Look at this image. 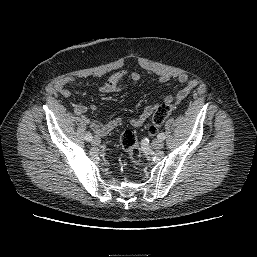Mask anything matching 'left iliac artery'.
Segmentation results:
<instances>
[{"label": "left iliac artery", "instance_id": "obj_1", "mask_svg": "<svg viewBox=\"0 0 257 257\" xmlns=\"http://www.w3.org/2000/svg\"><path fill=\"white\" fill-rule=\"evenodd\" d=\"M165 138H166V136H165L164 133H159V134H158V139L164 140Z\"/></svg>", "mask_w": 257, "mask_h": 257}]
</instances>
